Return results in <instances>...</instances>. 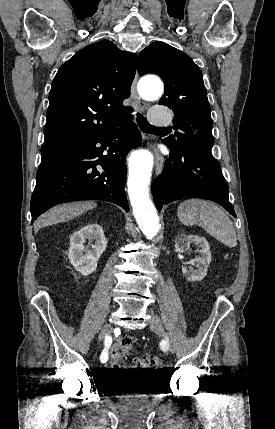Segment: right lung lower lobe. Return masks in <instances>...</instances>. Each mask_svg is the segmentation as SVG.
Here are the masks:
<instances>
[{
  "mask_svg": "<svg viewBox=\"0 0 275 429\" xmlns=\"http://www.w3.org/2000/svg\"><path fill=\"white\" fill-rule=\"evenodd\" d=\"M140 142V132L129 118L43 154L31 198L32 223L49 208L76 200L109 201L128 212L125 158Z\"/></svg>",
  "mask_w": 275,
  "mask_h": 429,
  "instance_id": "obj_1",
  "label": "right lung lower lobe"
}]
</instances>
